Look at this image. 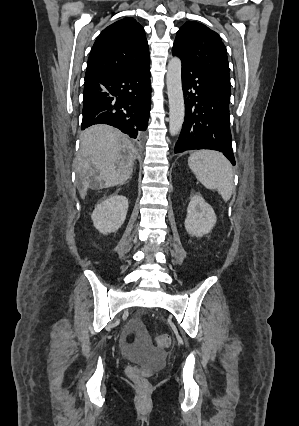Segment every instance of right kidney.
Instances as JSON below:
<instances>
[{
  "instance_id": "1",
  "label": "right kidney",
  "mask_w": 299,
  "mask_h": 426,
  "mask_svg": "<svg viewBox=\"0 0 299 426\" xmlns=\"http://www.w3.org/2000/svg\"><path fill=\"white\" fill-rule=\"evenodd\" d=\"M128 211V199L113 194L102 200L94 209L91 218L94 227L102 234L116 232L124 223Z\"/></svg>"
}]
</instances>
